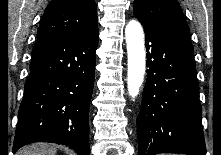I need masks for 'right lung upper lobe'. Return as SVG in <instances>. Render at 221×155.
Segmentation results:
<instances>
[{"label":"right lung upper lobe","mask_w":221,"mask_h":155,"mask_svg":"<svg viewBox=\"0 0 221 155\" xmlns=\"http://www.w3.org/2000/svg\"><path fill=\"white\" fill-rule=\"evenodd\" d=\"M97 24L94 0H52L44 12L37 38L86 32Z\"/></svg>","instance_id":"cb5924a9"}]
</instances>
